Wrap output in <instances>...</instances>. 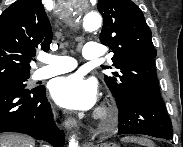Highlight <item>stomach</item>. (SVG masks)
<instances>
[{
	"instance_id": "1",
	"label": "stomach",
	"mask_w": 183,
	"mask_h": 147,
	"mask_svg": "<svg viewBox=\"0 0 183 147\" xmlns=\"http://www.w3.org/2000/svg\"><path fill=\"white\" fill-rule=\"evenodd\" d=\"M100 147H118V146L114 143H102L100 144Z\"/></svg>"
}]
</instances>
